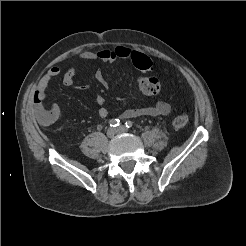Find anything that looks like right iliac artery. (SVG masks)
I'll list each match as a JSON object with an SVG mask.
<instances>
[{
  "label": "right iliac artery",
  "mask_w": 246,
  "mask_h": 246,
  "mask_svg": "<svg viewBox=\"0 0 246 246\" xmlns=\"http://www.w3.org/2000/svg\"><path fill=\"white\" fill-rule=\"evenodd\" d=\"M119 124H120V120H119V119H111V120L109 121V125H110L111 127L119 126Z\"/></svg>",
  "instance_id": "right-iliac-artery-1"
}]
</instances>
